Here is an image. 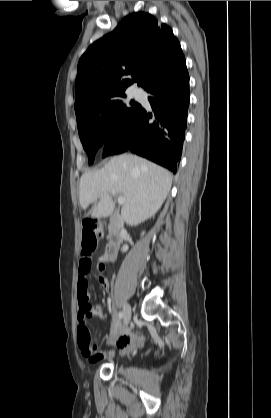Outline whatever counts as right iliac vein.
<instances>
[{"mask_svg":"<svg viewBox=\"0 0 271 418\" xmlns=\"http://www.w3.org/2000/svg\"><path fill=\"white\" fill-rule=\"evenodd\" d=\"M131 306L126 304L123 310V330L128 326L131 319Z\"/></svg>","mask_w":271,"mask_h":418,"instance_id":"obj_1","label":"right iliac vein"}]
</instances>
